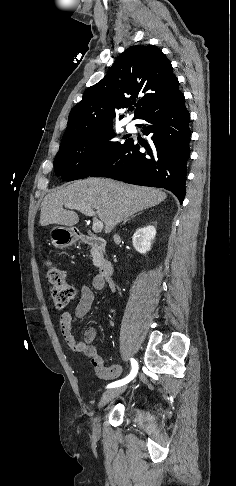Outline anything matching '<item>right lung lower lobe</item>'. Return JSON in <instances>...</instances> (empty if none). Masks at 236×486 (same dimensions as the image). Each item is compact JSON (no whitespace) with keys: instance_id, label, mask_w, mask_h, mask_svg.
<instances>
[{"instance_id":"98d812e1","label":"right lung lower lobe","mask_w":236,"mask_h":486,"mask_svg":"<svg viewBox=\"0 0 236 486\" xmlns=\"http://www.w3.org/2000/svg\"><path fill=\"white\" fill-rule=\"evenodd\" d=\"M181 93L172 100L148 107L138 119H143V133L151 134L149 143L133 139L113 157L95 170L90 177H109L123 182L165 188L182 203L185 197L186 164L190 156V115Z\"/></svg>"}]
</instances>
